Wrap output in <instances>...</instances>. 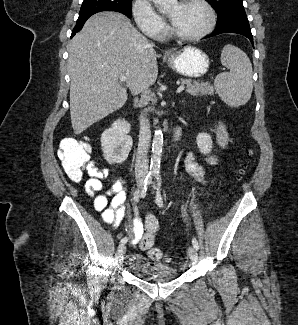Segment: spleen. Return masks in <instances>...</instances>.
Returning <instances> with one entry per match:
<instances>
[{
    "mask_svg": "<svg viewBox=\"0 0 298 325\" xmlns=\"http://www.w3.org/2000/svg\"><path fill=\"white\" fill-rule=\"evenodd\" d=\"M221 62L230 72H219L215 76L214 86L218 96L228 106L246 104L253 90V70L248 54L234 44H225Z\"/></svg>",
    "mask_w": 298,
    "mask_h": 325,
    "instance_id": "3e777b00",
    "label": "spleen"
}]
</instances>
